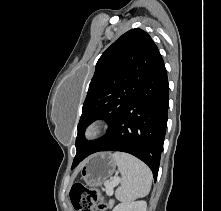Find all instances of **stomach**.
<instances>
[{"mask_svg":"<svg viewBox=\"0 0 221 211\" xmlns=\"http://www.w3.org/2000/svg\"><path fill=\"white\" fill-rule=\"evenodd\" d=\"M116 163L111 154L98 153L89 157L81 167V176L87 185H102L115 171Z\"/></svg>","mask_w":221,"mask_h":211,"instance_id":"1","label":"stomach"}]
</instances>
